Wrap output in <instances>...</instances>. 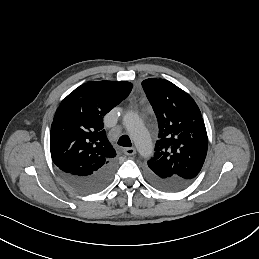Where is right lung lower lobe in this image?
<instances>
[{"label": "right lung lower lobe", "mask_w": 259, "mask_h": 259, "mask_svg": "<svg viewBox=\"0 0 259 259\" xmlns=\"http://www.w3.org/2000/svg\"><path fill=\"white\" fill-rule=\"evenodd\" d=\"M115 171V160L109 161L90 175H77L59 168V174L73 189L81 193H95L104 189L111 181Z\"/></svg>", "instance_id": "obj_1"}]
</instances>
